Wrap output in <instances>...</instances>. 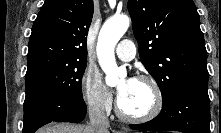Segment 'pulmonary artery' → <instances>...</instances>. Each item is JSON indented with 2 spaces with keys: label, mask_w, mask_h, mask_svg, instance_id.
Here are the masks:
<instances>
[{
  "label": "pulmonary artery",
  "mask_w": 221,
  "mask_h": 133,
  "mask_svg": "<svg viewBox=\"0 0 221 133\" xmlns=\"http://www.w3.org/2000/svg\"><path fill=\"white\" fill-rule=\"evenodd\" d=\"M116 54L122 61H130L135 57V46L131 40H123L116 48Z\"/></svg>",
  "instance_id": "obj_1"
}]
</instances>
